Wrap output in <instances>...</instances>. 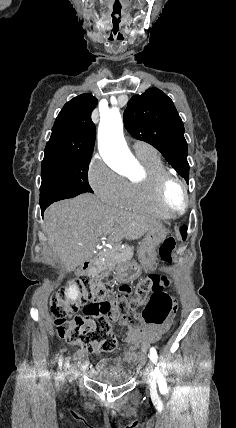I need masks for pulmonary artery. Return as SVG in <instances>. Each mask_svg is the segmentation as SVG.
<instances>
[{
  "label": "pulmonary artery",
  "mask_w": 236,
  "mask_h": 428,
  "mask_svg": "<svg viewBox=\"0 0 236 428\" xmlns=\"http://www.w3.org/2000/svg\"><path fill=\"white\" fill-rule=\"evenodd\" d=\"M152 150V148L146 144H135L133 146V151L137 154H144V153H148Z\"/></svg>",
  "instance_id": "e3ab8cb5"
}]
</instances>
